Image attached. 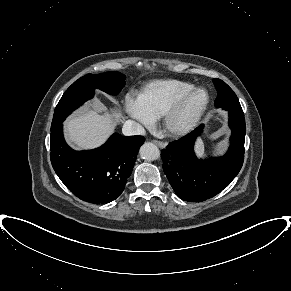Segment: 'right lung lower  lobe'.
Returning a JSON list of instances; mask_svg holds the SVG:
<instances>
[{"mask_svg":"<svg viewBox=\"0 0 291 291\" xmlns=\"http://www.w3.org/2000/svg\"><path fill=\"white\" fill-rule=\"evenodd\" d=\"M63 125L51 130V163L64 185L81 200L106 204L123 192L134 167L142 136L114 133L101 147L75 151L65 142Z\"/></svg>","mask_w":291,"mask_h":291,"instance_id":"right-lung-lower-lobe-1","label":"right lung lower lobe"}]
</instances>
